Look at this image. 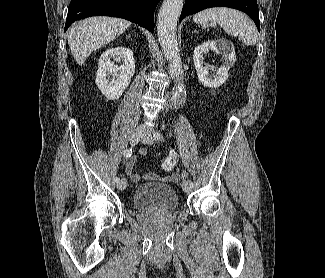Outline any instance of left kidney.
<instances>
[{
	"label": "left kidney",
	"mask_w": 325,
	"mask_h": 278,
	"mask_svg": "<svg viewBox=\"0 0 325 278\" xmlns=\"http://www.w3.org/2000/svg\"><path fill=\"white\" fill-rule=\"evenodd\" d=\"M213 51L222 55L224 64L217 70L216 75H209V68L203 66V54ZM194 66L197 71L198 80L210 88H218L228 79V71L236 61V55L233 45L226 40L206 41L197 46L193 53Z\"/></svg>",
	"instance_id": "obj_1"
}]
</instances>
